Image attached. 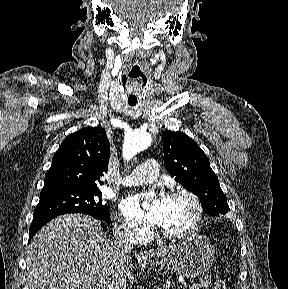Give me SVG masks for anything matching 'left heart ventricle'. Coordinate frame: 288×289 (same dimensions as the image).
I'll return each mask as SVG.
<instances>
[{
  "mask_svg": "<svg viewBox=\"0 0 288 289\" xmlns=\"http://www.w3.org/2000/svg\"><path fill=\"white\" fill-rule=\"evenodd\" d=\"M193 217L194 208L186 198L164 199L160 227L171 232L181 231L190 226Z\"/></svg>",
  "mask_w": 288,
  "mask_h": 289,
  "instance_id": "1",
  "label": "left heart ventricle"
}]
</instances>
